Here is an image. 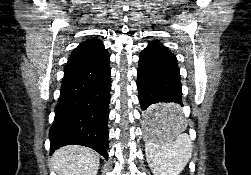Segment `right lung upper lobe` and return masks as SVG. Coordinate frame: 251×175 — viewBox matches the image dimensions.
Masks as SVG:
<instances>
[{
	"label": "right lung upper lobe",
	"mask_w": 251,
	"mask_h": 175,
	"mask_svg": "<svg viewBox=\"0 0 251 175\" xmlns=\"http://www.w3.org/2000/svg\"><path fill=\"white\" fill-rule=\"evenodd\" d=\"M108 55L99 39H87L72 51L66 67L99 61Z\"/></svg>",
	"instance_id": "obj_1"
}]
</instances>
